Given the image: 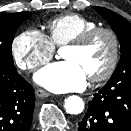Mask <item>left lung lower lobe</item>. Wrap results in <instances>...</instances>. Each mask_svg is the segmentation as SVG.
Here are the masks:
<instances>
[{
  "label": "left lung lower lobe",
  "mask_w": 131,
  "mask_h": 131,
  "mask_svg": "<svg viewBox=\"0 0 131 131\" xmlns=\"http://www.w3.org/2000/svg\"><path fill=\"white\" fill-rule=\"evenodd\" d=\"M78 131H131V82L107 83L96 93Z\"/></svg>",
  "instance_id": "1"
}]
</instances>
